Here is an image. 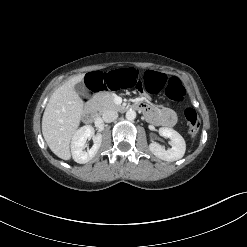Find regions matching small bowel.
Listing matches in <instances>:
<instances>
[{
	"label": "small bowel",
	"mask_w": 247,
	"mask_h": 247,
	"mask_svg": "<svg viewBox=\"0 0 247 247\" xmlns=\"http://www.w3.org/2000/svg\"><path fill=\"white\" fill-rule=\"evenodd\" d=\"M139 104L152 123L164 127H172L176 123V113L170 107L165 105L154 106L147 102H140Z\"/></svg>",
	"instance_id": "obj_1"
}]
</instances>
